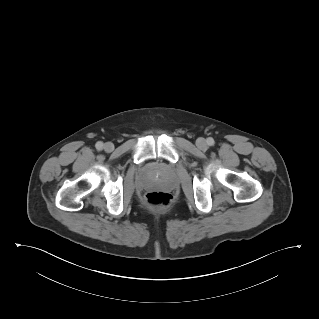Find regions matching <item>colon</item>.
Wrapping results in <instances>:
<instances>
[{"mask_svg":"<svg viewBox=\"0 0 319 319\" xmlns=\"http://www.w3.org/2000/svg\"><path fill=\"white\" fill-rule=\"evenodd\" d=\"M145 201L151 206H165L171 201V195L164 191H151L145 195Z\"/></svg>","mask_w":319,"mask_h":319,"instance_id":"colon-1","label":"colon"}]
</instances>
